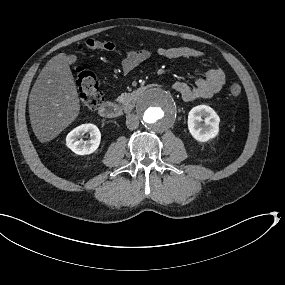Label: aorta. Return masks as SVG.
Listing matches in <instances>:
<instances>
[{
	"mask_svg": "<svg viewBox=\"0 0 285 285\" xmlns=\"http://www.w3.org/2000/svg\"><path fill=\"white\" fill-rule=\"evenodd\" d=\"M133 111L142 126L160 131L169 128L176 121L179 107L174 94L169 89L152 85L137 94Z\"/></svg>",
	"mask_w": 285,
	"mask_h": 285,
	"instance_id": "aorta-1",
	"label": "aorta"
}]
</instances>
